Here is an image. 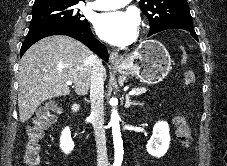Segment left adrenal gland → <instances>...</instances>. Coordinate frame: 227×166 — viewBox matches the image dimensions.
<instances>
[{"label":"left adrenal gland","instance_id":"1","mask_svg":"<svg viewBox=\"0 0 227 166\" xmlns=\"http://www.w3.org/2000/svg\"><path fill=\"white\" fill-rule=\"evenodd\" d=\"M139 101H131L129 95L127 94L125 97V108H129L130 106L140 105Z\"/></svg>","mask_w":227,"mask_h":166}]
</instances>
